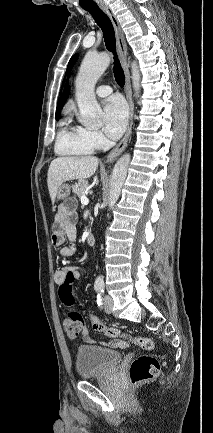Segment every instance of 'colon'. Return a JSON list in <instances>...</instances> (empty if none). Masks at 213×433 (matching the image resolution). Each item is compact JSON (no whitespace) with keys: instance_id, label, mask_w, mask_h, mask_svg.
Wrapping results in <instances>:
<instances>
[{"instance_id":"obj_1","label":"colon","mask_w":213,"mask_h":433,"mask_svg":"<svg viewBox=\"0 0 213 433\" xmlns=\"http://www.w3.org/2000/svg\"><path fill=\"white\" fill-rule=\"evenodd\" d=\"M75 278L72 272L67 275V283L59 291L61 301L64 305L72 307L74 297L71 291V284ZM90 321L95 331L104 333L110 338H121L131 342L145 351H151L154 348V343L150 338L137 337L122 332L114 326L107 325L98 318L91 316ZM83 317L79 311L71 308L67 316L63 320V327L67 335L71 338H76L83 329ZM160 371L159 360L152 355H141L134 359L129 368V375L133 384H140L155 378Z\"/></svg>"}]
</instances>
